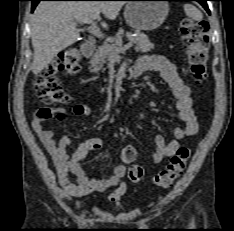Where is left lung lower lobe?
<instances>
[{
  "label": "left lung lower lobe",
  "instance_id": "left-lung-lower-lobe-1",
  "mask_svg": "<svg viewBox=\"0 0 234 231\" xmlns=\"http://www.w3.org/2000/svg\"><path fill=\"white\" fill-rule=\"evenodd\" d=\"M169 1H197L205 8V10L208 12V14H210V10H209L208 5H207L208 0H169Z\"/></svg>",
  "mask_w": 234,
  "mask_h": 231
}]
</instances>
